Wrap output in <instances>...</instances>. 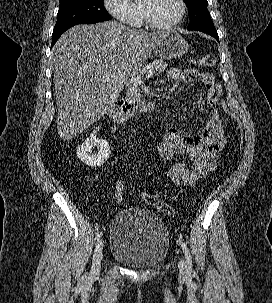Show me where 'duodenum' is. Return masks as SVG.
<instances>
[{
    "label": "duodenum",
    "instance_id": "1",
    "mask_svg": "<svg viewBox=\"0 0 272 303\" xmlns=\"http://www.w3.org/2000/svg\"><path fill=\"white\" fill-rule=\"evenodd\" d=\"M157 107L158 103L156 100H144L138 105H131L123 100H117L111 105L109 116L114 123H122L126 121L134 111L151 113L154 112Z\"/></svg>",
    "mask_w": 272,
    "mask_h": 303
}]
</instances>
